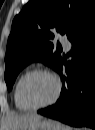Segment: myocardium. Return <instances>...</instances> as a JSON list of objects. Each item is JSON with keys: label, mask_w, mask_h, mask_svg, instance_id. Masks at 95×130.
<instances>
[{"label": "myocardium", "mask_w": 95, "mask_h": 130, "mask_svg": "<svg viewBox=\"0 0 95 130\" xmlns=\"http://www.w3.org/2000/svg\"><path fill=\"white\" fill-rule=\"evenodd\" d=\"M37 74H44V75L49 76L55 83L56 91H55V94L53 95V97L49 101H47L43 104H40V105H32L25 98L24 88H25L27 81L32 76L37 75ZM60 93H61V82H60L59 78L53 72H51L50 70L43 69V68H37V69H34V70L28 72L25 75V77L23 78V80L21 81V84L19 86V99H20L21 103L25 107H27L29 110H38V109L52 105L53 103H55L57 101V99L60 96Z\"/></svg>", "instance_id": "1"}]
</instances>
